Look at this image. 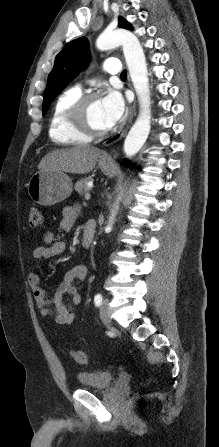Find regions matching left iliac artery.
Returning <instances> with one entry per match:
<instances>
[{"label": "left iliac artery", "mask_w": 219, "mask_h": 447, "mask_svg": "<svg viewBox=\"0 0 219 447\" xmlns=\"http://www.w3.org/2000/svg\"><path fill=\"white\" fill-rule=\"evenodd\" d=\"M94 302L96 306H100L102 303V295L100 293L96 294L94 297Z\"/></svg>", "instance_id": "obj_1"}]
</instances>
